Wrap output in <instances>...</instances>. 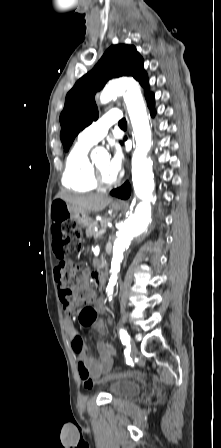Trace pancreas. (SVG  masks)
I'll use <instances>...</instances> for the list:
<instances>
[{
	"label": "pancreas",
	"mask_w": 221,
	"mask_h": 448,
	"mask_svg": "<svg viewBox=\"0 0 221 448\" xmlns=\"http://www.w3.org/2000/svg\"><path fill=\"white\" fill-rule=\"evenodd\" d=\"M110 221H111L110 218H106V217H104L103 220L100 221V225H101V227L103 228L104 226H106V223H107V222H110ZM94 225H95V224L92 222V223L87 227V229H86V236H87L88 238H90V237L97 238V232H95L94 229H93Z\"/></svg>",
	"instance_id": "1"
}]
</instances>
